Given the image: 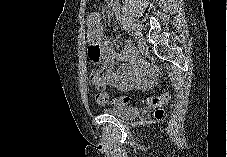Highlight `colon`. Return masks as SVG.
<instances>
[{
  "mask_svg": "<svg viewBox=\"0 0 227 157\" xmlns=\"http://www.w3.org/2000/svg\"><path fill=\"white\" fill-rule=\"evenodd\" d=\"M98 63V62H94ZM99 73V69L93 70L90 75V79H94L97 74ZM171 99V92L167 91L160 96H152L148 97L144 100V103L155 108V116L157 118H161L164 114V110L162 106H164L169 100ZM131 101L130 97L128 96H118L116 97L112 103L116 106L126 105ZM96 102L99 105H106L110 102V98L107 92L100 91L96 94Z\"/></svg>",
  "mask_w": 227,
  "mask_h": 157,
  "instance_id": "1",
  "label": "colon"
}]
</instances>
